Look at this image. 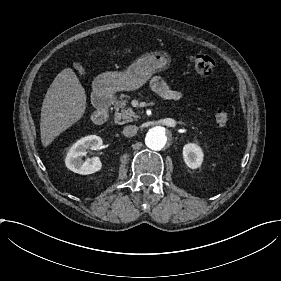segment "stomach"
Listing matches in <instances>:
<instances>
[{
    "mask_svg": "<svg viewBox=\"0 0 281 281\" xmlns=\"http://www.w3.org/2000/svg\"><path fill=\"white\" fill-rule=\"evenodd\" d=\"M172 55L166 50L145 53L133 61L123 72H106L97 78L103 91H136L157 72L170 68Z\"/></svg>",
    "mask_w": 281,
    "mask_h": 281,
    "instance_id": "stomach-1",
    "label": "stomach"
}]
</instances>
